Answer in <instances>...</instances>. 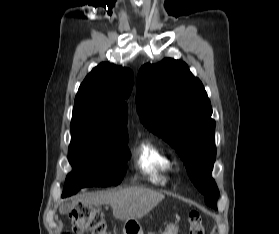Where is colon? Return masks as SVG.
Masks as SVG:
<instances>
[{
    "label": "colon",
    "mask_w": 279,
    "mask_h": 234,
    "mask_svg": "<svg viewBox=\"0 0 279 234\" xmlns=\"http://www.w3.org/2000/svg\"><path fill=\"white\" fill-rule=\"evenodd\" d=\"M71 231L67 234H111L103 214L94 208L79 207L71 214ZM189 234H205L203 221L198 212L189 214Z\"/></svg>",
    "instance_id": "5ec220e1"
}]
</instances>
